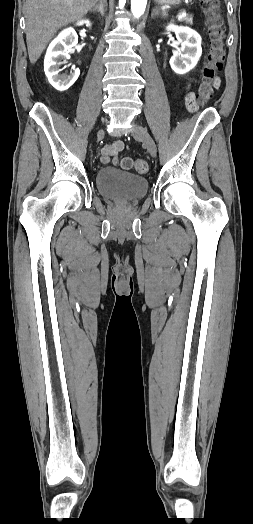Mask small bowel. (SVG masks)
Listing matches in <instances>:
<instances>
[{
	"mask_svg": "<svg viewBox=\"0 0 253 524\" xmlns=\"http://www.w3.org/2000/svg\"><path fill=\"white\" fill-rule=\"evenodd\" d=\"M216 86H219V80H216ZM183 100L187 110H192L191 114L196 116L201 111V106L198 104L197 92L194 88L186 86L184 88ZM124 148V143L121 140H116L101 149V159L104 163L109 162L112 157H116Z\"/></svg>",
	"mask_w": 253,
	"mask_h": 524,
	"instance_id": "small-bowel-1",
	"label": "small bowel"
}]
</instances>
